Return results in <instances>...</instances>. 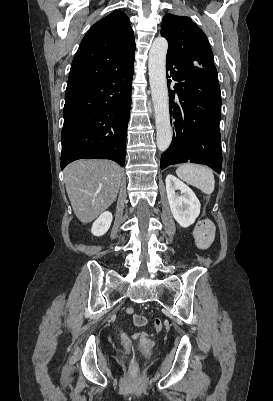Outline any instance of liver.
I'll return each mask as SVG.
<instances>
[{
    "label": "liver",
    "instance_id": "obj_1",
    "mask_svg": "<svg viewBox=\"0 0 273 401\" xmlns=\"http://www.w3.org/2000/svg\"><path fill=\"white\" fill-rule=\"evenodd\" d=\"M123 168L113 160H75L64 170L72 209L81 223H91L118 194Z\"/></svg>",
    "mask_w": 273,
    "mask_h": 401
}]
</instances>
